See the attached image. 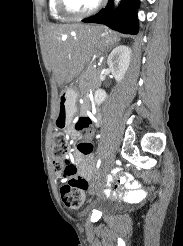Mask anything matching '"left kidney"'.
Instances as JSON below:
<instances>
[{
  "label": "left kidney",
  "instance_id": "5707ae66",
  "mask_svg": "<svg viewBox=\"0 0 183 246\" xmlns=\"http://www.w3.org/2000/svg\"><path fill=\"white\" fill-rule=\"evenodd\" d=\"M131 59V49L125 45H120L112 50L107 59L109 69L117 82H120L129 67ZM107 98L103 89H97L94 94L95 103L102 104Z\"/></svg>",
  "mask_w": 183,
  "mask_h": 246
}]
</instances>
